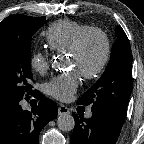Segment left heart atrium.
<instances>
[{"instance_id": "obj_1", "label": "left heart atrium", "mask_w": 144, "mask_h": 144, "mask_svg": "<svg viewBox=\"0 0 144 144\" xmlns=\"http://www.w3.org/2000/svg\"><path fill=\"white\" fill-rule=\"evenodd\" d=\"M78 84V75L71 72L53 78L46 84V91L55 99L67 101L77 90Z\"/></svg>"}]
</instances>
